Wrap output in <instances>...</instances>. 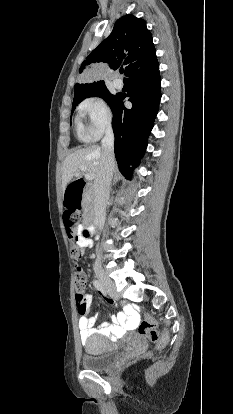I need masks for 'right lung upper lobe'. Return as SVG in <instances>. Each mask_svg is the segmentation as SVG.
<instances>
[{"label": "right lung upper lobe", "instance_id": "cb5924a9", "mask_svg": "<svg viewBox=\"0 0 233 414\" xmlns=\"http://www.w3.org/2000/svg\"><path fill=\"white\" fill-rule=\"evenodd\" d=\"M100 63L108 64L111 69L124 65L128 79L149 73L158 67L156 50L146 22L133 15L121 17L116 21L111 34L87 56L79 72L88 74ZM101 85H105L104 81L76 83L74 100Z\"/></svg>", "mask_w": 233, "mask_h": 414}]
</instances>
